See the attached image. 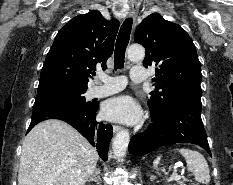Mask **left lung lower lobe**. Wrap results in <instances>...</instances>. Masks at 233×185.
I'll use <instances>...</instances> for the list:
<instances>
[{
    "label": "left lung lower lobe",
    "instance_id": "obj_1",
    "mask_svg": "<svg viewBox=\"0 0 233 185\" xmlns=\"http://www.w3.org/2000/svg\"><path fill=\"white\" fill-rule=\"evenodd\" d=\"M200 94L179 98L159 117L151 116L147 130L131 138L129 153L144 155L156 148L173 143H193L204 148L209 155L207 135L200 116Z\"/></svg>",
    "mask_w": 233,
    "mask_h": 185
}]
</instances>
